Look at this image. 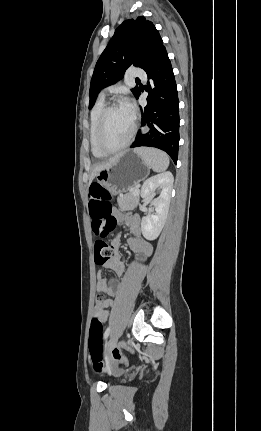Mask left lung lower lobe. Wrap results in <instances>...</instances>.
Segmentation results:
<instances>
[{"instance_id": "obj_1", "label": "left lung lower lobe", "mask_w": 261, "mask_h": 431, "mask_svg": "<svg viewBox=\"0 0 261 431\" xmlns=\"http://www.w3.org/2000/svg\"><path fill=\"white\" fill-rule=\"evenodd\" d=\"M144 71L150 81L145 86L148 92L147 105L141 107L144 133L136 136L131 148L148 146L159 148L177 162L179 148V101L176 82L165 47L151 59ZM138 91L136 98L140 95Z\"/></svg>"}]
</instances>
